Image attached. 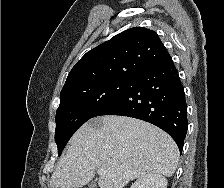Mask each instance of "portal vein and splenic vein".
<instances>
[{"mask_svg": "<svg viewBox=\"0 0 224 188\" xmlns=\"http://www.w3.org/2000/svg\"><path fill=\"white\" fill-rule=\"evenodd\" d=\"M97 173H98L99 175H103L105 172H104V170L99 169V170L97 171Z\"/></svg>", "mask_w": 224, "mask_h": 188, "instance_id": "18ae733b", "label": "portal vein and splenic vein"}]
</instances>
